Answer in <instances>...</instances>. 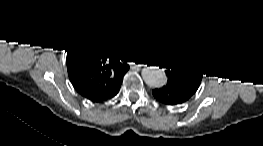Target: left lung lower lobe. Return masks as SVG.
<instances>
[{
	"instance_id": "1",
	"label": "left lung lower lobe",
	"mask_w": 263,
	"mask_h": 146,
	"mask_svg": "<svg viewBox=\"0 0 263 146\" xmlns=\"http://www.w3.org/2000/svg\"><path fill=\"white\" fill-rule=\"evenodd\" d=\"M152 93L158 101L168 105L184 103L193 95L188 93L182 86L170 79H167V83L161 88L154 89Z\"/></svg>"
}]
</instances>
